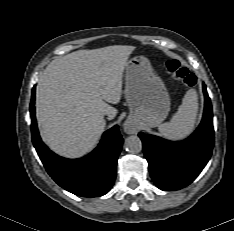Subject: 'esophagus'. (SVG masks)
I'll use <instances>...</instances> for the list:
<instances>
[{
  "mask_svg": "<svg viewBox=\"0 0 234 231\" xmlns=\"http://www.w3.org/2000/svg\"><path fill=\"white\" fill-rule=\"evenodd\" d=\"M137 127L136 123L126 122L124 124V129L127 133H137Z\"/></svg>",
  "mask_w": 234,
  "mask_h": 231,
  "instance_id": "34e87169",
  "label": "esophagus"
}]
</instances>
